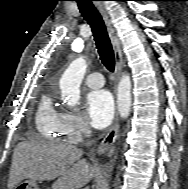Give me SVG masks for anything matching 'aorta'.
Instances as JSON below:
<instances>
[{
    "label": "aorta",
    "instance_id": "762f6f07",
    "mask_svg": "<svg viewBox=\"0 0 188 189\" xmlns=\"http://www.w3.org/2000/svg\"><path fill=\"white\" fill-rule=\"evenodd\" d=\"M87 68L83 57L75 59L63 73L59 85L64 103L74 107L80 100V85ZM118 112L121 118L128 117L131 110V79L123 74L117 88Z\"/></svg>",
    "mask_w": 188,
    "mask_h": 189
}]
</instances>
